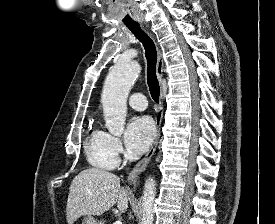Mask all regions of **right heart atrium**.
Returning <instances> with one entry per match:
<instances>
[{"label":"right heart atrium","instance_id":"d8ad5b80","mask_svg":"<svg viewBox=\"0 0 275 224\" xmlns=\"http://www.w3.org/2000/svg\"><path fill=\"white\" fill-rule=\"evenodd\" d=\"M109 136V146L112 152L118 157L123 153L122 143L119 137L115 135L108 134Z\"/></svg>","mask_w":275,"mask_h":224}]
</instances>
